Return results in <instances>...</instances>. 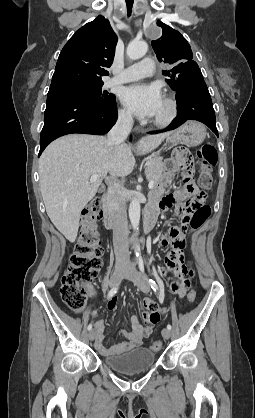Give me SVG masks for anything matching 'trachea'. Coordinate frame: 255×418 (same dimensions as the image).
Here are the masks:
<instances>
[{
	"instance_id": "trachea-1",
	"label": "trachea",
	"mask_w": 255,
	"mask_h": 418,
	"mask_svg": "<svg viewBox=\"0 0 255 418\" xmlns=\"http://www.w3.org/2000/svg\"><path fill=\"white\" fill-rule=\"evenodd\" d=\"M134 0H126L128 16L131 15Z\"/></svg>"
}]
</instances>
